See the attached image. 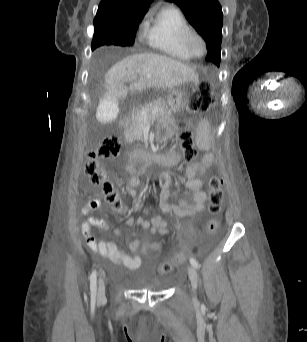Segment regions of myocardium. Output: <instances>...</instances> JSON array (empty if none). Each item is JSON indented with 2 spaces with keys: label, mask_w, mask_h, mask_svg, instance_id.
I'll return each instance as SVG.
<instances>
[{
  "label": "myocardium",
  "mask_w": 307,
  "mask_h": 342,
  "mask_svg": "<svg viewBox=\"0 0 307 342\" xmlns=\"http://www.w3.org/2000/svg\"><path fill=\"white\" fill-rule=\"evenodd\" d=\"M194 36H198L199 39L201 40V43L203 45V50L202 53L200 55H195L189 46L190 40L192 37ZM182 43H183V47L186 51V53L192 58V59H201L207 52L208 50V43L207 40L205 38L204 33L202 32L201 29L191 25L190 28L184 33L183 38H182Z\"/></svg>",
  "instance_id": "myocardium-1"
}]
</instances>
